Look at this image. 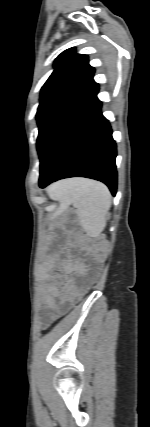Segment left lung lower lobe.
Returning <instances> with one entry per match:
<instances>
[{"label":"left lung lower lobe","mask_w":150,"mask_h":427,"mask_svg":"<svg viewBox=\"0 0 150 427\" xmlns=\"http://www.w3.org/2000/svg\"><path fill=\"white\" fill-rule=\"evenodd\" d=\"M93 83L64 109L39 126L41 188L68 177H87L104 182L115 196L116 144L108 121L101 113Z\"/></svg>","instance_id":"0a47b994"}]
</instances>
